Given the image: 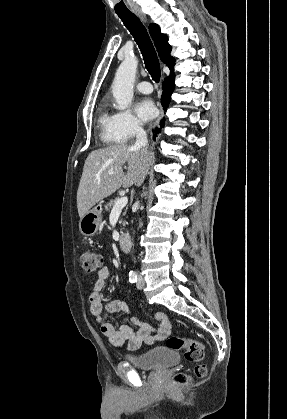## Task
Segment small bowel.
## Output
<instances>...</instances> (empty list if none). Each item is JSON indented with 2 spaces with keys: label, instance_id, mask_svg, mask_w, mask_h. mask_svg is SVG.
<instances>
[{
  "label": "small bowel",
  "instance_id": "small-bowel-1",
  "mask_svg": "<svg viewBox=\"0 0 287 419\" xmlns=\"http://www.w3.org/2000/svg\"><path fill=\"white\" fill-rule=\"evenodd\" d=\"M109 275L110 271L107 267L98 271L93 291L89 296V307L91 314L99 323L103 335L108 338L110 343L119 348L137 350L142 343L151 344L155 340L167 338L171 331V324L163 312H157L155 314V319L158 322L156 328L141 322L137 318H132V322L138 326L137 330H134L128 325H121L119 329H116L103 317L104 308L110 313L128 312L126 302L121 299L111 301L104 305L101 292ZM152 332H154V335H152Z\"/></svg>",
  "mask_w": 287,
  "mask_h": 419
}]
</instances>
